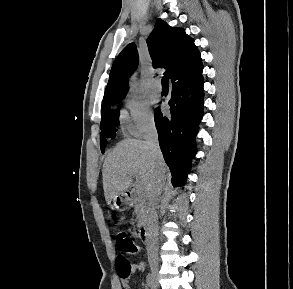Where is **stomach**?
I'll return each instance as SVG.
<instances>
[{"mask_svg": "<svg viewBox=\"0 0 293 289\" xmlns=\"http://www.w3.org/2000/svg\"><path fill=\"white\" fill-rule=\"evenodd\" d=\"M113 205L117 210L123 211L128 205V199L119 194L113 199Z\"/></svg>", "mask_w": 293, "mask_h": 289, "instance_id": "0dacf381", "label": "stomach"}]
</instances>
